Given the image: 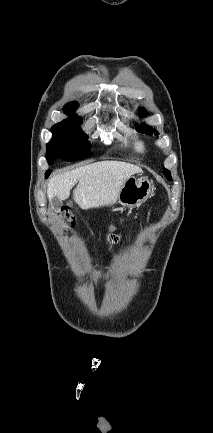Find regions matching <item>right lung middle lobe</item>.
Returning <instances> with one entry per match:
<instances>
[{
    "label": "right lung middle lobe",
    "instance_id": "1",
    "mask_svg": "<svg viewBox=\"0 0 213 433\" xmlns=\"http://www.w3.org/2000/svg\"><path fill=\"white\" fill-rule=\"evenodd\" d=\"M82 119L70 115L60 123L52 126V139L47 143V161L49 164L57 158L76 161L91 155V145L81 130Z\"/></svg>",
    "mask_w": 213,
    "mask_h": 433
}]
</instances>
